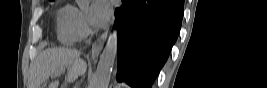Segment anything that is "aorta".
Masks as SVG:
<instances>
[{
  "instance_id": "aorta-1",
  "label": "aorta",
  "mask_w": 267,
  "mask_h": 88,
  "mask_svg": "<svg viewBox=\"0 0 267 88\" xmlns=\"http://www.w3.org/2000/svg\"><path fill=\"white\" fill-rule=\"evenodd\" d=\"M76 2L80 6H87L90 0H76ZM117 41V32L114 31L108 37L90 88H108L117 54Z\"/></svg>"
}]
</instances>
